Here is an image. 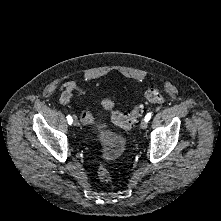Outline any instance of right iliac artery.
Returning a JSON list of instances; mask_svg holds the SVG:
<instances>
[{"label":"right iliac artery","instance_id":"1","mask_svg":"<svg viewBox=\"0 0 221 221\" xmlns=\"http://www.w3.org/2000/svg\"><path fill=\"white\" fill-rule=\"evenodd\" d=\"M68 124L71 125L73 122V119L70 115L67 116Z\"/></svg>","mask_w":221,"mask_h":221}]
</instances>
